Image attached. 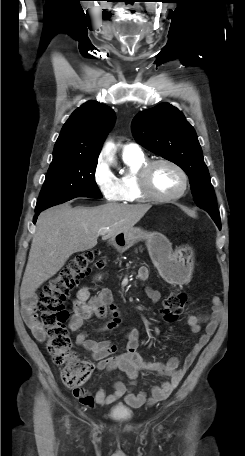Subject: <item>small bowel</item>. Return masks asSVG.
<instances>
[{
	"instance_id": "obj_1",
	"label": "small bowel",
	"mask_w": 245,
	"mask_h": 456,
	"mask_svg": "<svg viewBox=\"0 0 245 456\" xmlns=\"http://www.w3.org/2000/svg\"><path fill=\"white\" fill-rule=\"evenodd\" d=\"M140 280L145 281L149 277V269L141 267L138 271ZM97 275L95 279H99ZM147 296L153 301L158 302L161 298L159 291L150 287L146 288ZM212 311L208 315L193 314L187 317V324L193 333L201 331V323H205L204 332L194 343L190 352L186 356L184 363L180 366L177 357H171L167 362H148L138 353L139 331L135 328L129 329L125 333V346L122 351L117 350V346L108 339L92 338L86 332H79L76 336V344L91 353V357L97 362L99 370H119L130 380V385H126L118 380L113 384V391L109 394L104 389H98L94 394L90 391L78 387L73 391L74 396L81 404L87 407L94 405H109L120 398L133 407L140 408L145 404H154L164 400L179 385L184 374L193 364L201 350L209 342L216 331L222 314V301L218 296L211 298ZM23 318L38 341L45 340L44 330L37 320L36 297H29L23 304ZM96 316L106 319L105 324L98 331H111L116 329L121 321L120 313L114 303L112 293L109 289L103 288L96 294H91L88 286H81L76 294L74 312L69 320V328L73 332L80 331L86 321ZM152 371L169 379L161 385L151 388V396L147 398L144 391L134 393L132 385L141 371Z\"/></svg>"
}]
</instances>
